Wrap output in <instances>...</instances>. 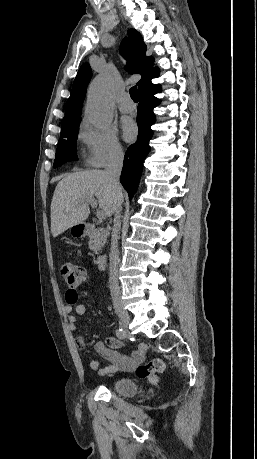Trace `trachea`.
<instances>
[{"label": "trachea", "mask_w": 257, "mask_h": 459, "mask_svg": "<svg viewBox=\"0 0 257 459\" xmlns=\"http://www.w3.org/2000/svg\"><path fill=\"white\" fill-rule=\"evenodd\" d=\"M130 97L132 98L133 101H138L139 100V94L136 86H133L129 90Z\"/></svg>", "instance_id": "3493384b"}]
</instances>
